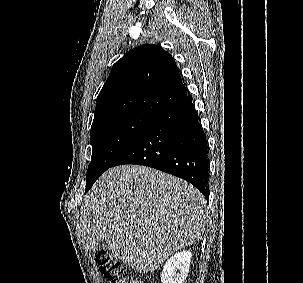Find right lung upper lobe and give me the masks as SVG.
Instances as JSON below:
<instances>
[{"mask_svg":"<svg viewBox=\"0 0 303 283\" xmlns=\"http://www.w3.org/2000/svg\"><path fill=\"white\" fill-rule=\"evenodd\" d=\"M187 97L176 63L160 46L145 44L118 60L102 87L93 123L122 113L158 115Z\"/></svg>","mask_w":303,"mask_h":283,"instance_id":"1","label":"right lung upper lobe"}]
</instances>
